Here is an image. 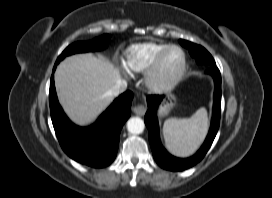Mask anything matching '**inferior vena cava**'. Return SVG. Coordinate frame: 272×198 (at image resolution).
Segmentation results:
<instances>
[{"label": "inferior vena cava", "instance_id": "1", "mask_svg": "<svg viewBox=\"0 0 272 198\" xmlns=\"http://www.w3.org/2000/svg\"><path fill=\"white\" fill-rule=\"evenodd\" d=\"M127 88V82L125 80H119L112 89H110L109 91H107L106 95L107 96H111V97H115L117 96L119 93H122L126 90Z\"/></svg>", "mask_w": 272, "mask_h": 198}]
</instances>
